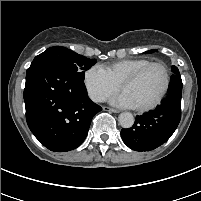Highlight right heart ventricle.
Wrapping results in <instances>:
<instances>
[{
	"label": "right heart ventricle",
	"mask_w": 201,
	"mask_h": 201,
	"mask_svg": "<svg viewBox=\"0 0 201 201\" xmlns=\"http://www.w3.org/2000/svg\"><path fill=\"white\" fill-rule=\"evenodd\" d=\"M149 62L150 60L148 59H125L106 65L104 69L112 80L120 85L127 76Z\"/></svg>",
	"instance_id": "right-heart-ventricle-1"
}]
</instances>
